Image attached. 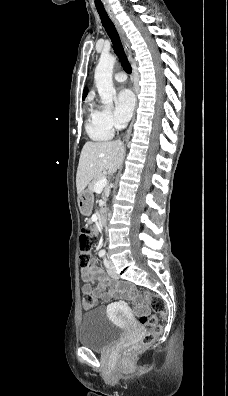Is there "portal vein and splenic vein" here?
Segmentation results:
<instances>
[{
  "instance_id": "portal-vein-and-splenic-vein-1",
  "label": "portal vein and splenic vein",
  "mask_w": 228,
  "mask_h": 396,
  "mask_svg": "<svg viewBox=\"0 0 228 396\" xmlns=\"http://www.w3.org/2000/svg\"><path fill=\"white\" fill-rule=\"evenodd\" d=\"M107 184V179L105 177L101 178L94 187V191L95 192H101L103 190V188L106 186Z\"/></svg>"
}]
</instances>
